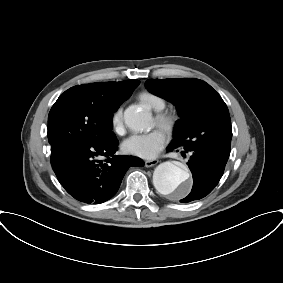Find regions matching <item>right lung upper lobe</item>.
Instances as JSON below:
<instances>
[{
    "instance_id": "obj_1",
    "label": "right lung upper lobe",
    "mask_w": 283,
    "mask_h": 283,
    "mask_svg": "<svg viewBox=\"0 0 283 283\" xmlns=\"http://www.w3.org/2000/svg\"><path fill=\"white\" fill-rule=\"evenodd\" d=\"M139 83V80H127L121 82H98L76 87L96 105L102 108H109L120 106L130 97Z\"/></svg>"
}]
</instances>
